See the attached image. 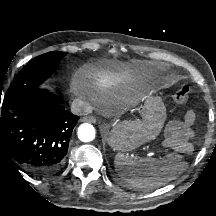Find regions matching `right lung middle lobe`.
<instances>
[{"instance_id":"obj_1","label":"right lung middle lobe","mask_w":216,"mask_h":216,"mask_svg":"<svg viewBox=\"0 0 216 216\" xmlns=\"http://www.w3.org/2000/svg\"><path fill=\"white\" fill-rule=\"evenodd\" d=\"M65 55V52L52 51L31 60L15 77L3 98V104L37 89Z\"/></svg>"}]
</instances>
